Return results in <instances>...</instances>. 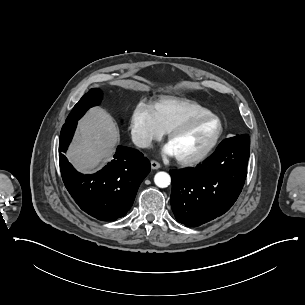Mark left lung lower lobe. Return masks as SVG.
I'll return each mask as SVG.
<instances>
[{
    "label": "left lung lower lobe",
    "instance_id": "obj_1",
    "mask_svg": "<svg viewBox=\"0 0 305 305\" xmlns=\"http://www.w3.org/2000/svg\"><path fill=\"white\" fill-rule=\"evenodd\" d=\"M250 155L249 136L221 142L195 168L171 170L170 203L178 222L197 227L227 212L242 191Z\"/></svg>",
    "mask_w": 305,
    "mask_h": 305
}]
</instances>
